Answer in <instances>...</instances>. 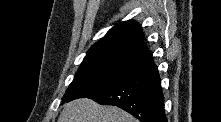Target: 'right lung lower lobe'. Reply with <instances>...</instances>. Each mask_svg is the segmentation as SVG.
I'll list each match as a JSON object with an SVG mask.
<instances>
[{"mask_svg": "<svg viewBox=\"0 0 221 122\" xmlns=\"http://www.w3.org/2000/svg\"><path fill=\"white\" fill-rule=\"evenodd\" d=\"M160 77L149 54L119 81L87 98L102 105H114L141 122H167Z\"/></svg>", "mask_w": 221, "mask_h": 122, "instance_id": "right-lung-lower-lobe-1", "label": "right lung lower lobe"}]
</instances>
